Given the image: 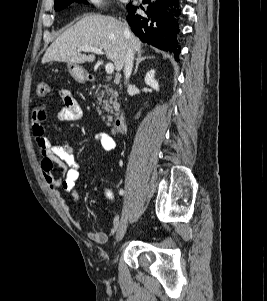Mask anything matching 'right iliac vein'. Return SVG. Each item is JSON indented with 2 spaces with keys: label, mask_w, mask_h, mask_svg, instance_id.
Listing matches in <instances>:
<instances>
[{
  "label": "right iliac vein",
  "mask_w": 267,
  "mask_h": 301,
  "mask_svg": "<svg viewBox=\"0 0 267 301\" xmlns=\"http://www.w3.org/2000/svg\"><path fill=\"white\" fill-rule=\"evenodd\" d=\"M127 227H128V212L127 209L125 208L123 210L120 222H119V226H118V230H117V234H116V240L117 242H120L123 237L125 236V233L127 231Z\"/></svg>",
  "instance_id": "right-iliac-vein-1"
}]
</instances>
